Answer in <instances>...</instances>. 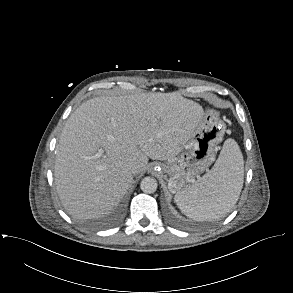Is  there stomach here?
<instances>
[{"label": "stomach", "instance_id": "0dacf381", "mask_svg": "<svg viewBox=\"0 0 293 293\" xmlns=\"http://www.w3.org/2000/svg\"><path fill=\"white\" fill-rule=\"evenodd\" d=\"M225 128L216 110L208 108L204 111L202 120L183 149L159 166L169 175L167 181L171 192L181 191L200 180V174L215 159L217 145L223 139Z\"/></svg>", "mask_w": 293, "mask_h": 293}]
</instances>
